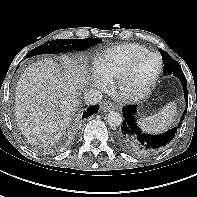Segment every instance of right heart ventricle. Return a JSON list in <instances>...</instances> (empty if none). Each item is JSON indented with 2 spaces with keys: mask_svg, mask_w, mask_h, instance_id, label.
I'll return each instance as SVG.
<instances>
[{
  "mask_svg": "<svg viewBox=\"0 0 197 197\" xmlns=\"http://www.w3.org/2000/svg\"><path fill=\"white\" fill-rule=\"evenodd\" d=\"M149 50L140 44H121L99 52L94 57L97 73L106 80H115L124 72L131 61Z\"/></svg>",
  "mask_w": 197,
  "mask_h": 197,
  "instance_id": "e07e8e85",
  "label": "right heart ventricle"
}]
</instances>
